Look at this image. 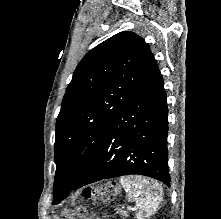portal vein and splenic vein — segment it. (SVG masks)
Wrapping results in <instances>:
<instances>
[{
	"mask_svg": "<svg viewBox=\"0 0 221 219\" xmlns=\"http://www.w3.org/2000/svg\"><path fill=\"white\" fill-rule=\"evenodd\" d=\"M128 210H132V211H134L135 208H132L131 206H128Z\"/></svg>",
	"mask_w": 221,
	"mask_h": 219,
	"instance_id": "obj_1",
	"label": "portal vein and splenic vein"
}]
</instances>
